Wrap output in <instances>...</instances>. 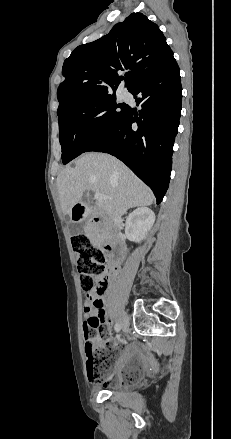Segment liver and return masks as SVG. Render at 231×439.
I'll return each mask as SVG.
<instances>
[{"instance_id": "1", "label": "liver", "mask_w": 231, "mask_h": 439, "mask_svg": "<svg viewBox=\"0 0 231 439\" xmlns=\"http://www.w3.org/2000/svg\"><path fill=\"white\" fill-rule=\"evenodd\" d=\"M57 189L62 212L70 217L86 189L105 196L97 207L110 218L154 201L149 187L124 163L103 153L83 154L75 160V167L63 169L57 178Z\"/></svg>"}]
</instances>
